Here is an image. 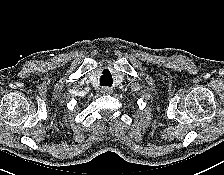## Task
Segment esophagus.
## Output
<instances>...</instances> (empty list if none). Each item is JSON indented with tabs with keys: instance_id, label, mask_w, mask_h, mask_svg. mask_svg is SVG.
<instances>
[{
	"instance_id": "34e87169",
	"label": "esophagus",
	"mask_w": 224,
	"mask_h": 175,
	"mask_svg": "<svg viewBox=\"0 0 224 175\" xmlns=\"http://www.w3.org/2000/svg\"><path fill=\"white\" fill-rule=\"evenodd\" d=\"M111 92H112V88H110V87H103L101 89L102 94H110Z\"/></svg>"
}]
</instances>
